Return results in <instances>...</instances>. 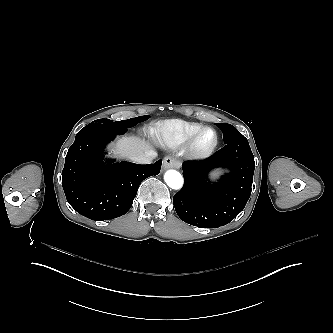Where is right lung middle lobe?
I'll use <instances>...</instances> for the list:
<instances>
[{"label": "right lung middle lobe", "mask_w": 333, "mask_h": 333, "mask_svg": "<svg viewBox=\"0 0 333 333\" xmlns=\"http://www.w3.org/2000/svg\"><path fill=\"white\" fill-rule=\"evenodd\" d=\"M148 118H149V116L145 115V116H140V117H136V118H131L128 120L116 121V122H113L108 119H98L93 122L103 123V124H107V125H111L114 127H118V128L127 130L128 128L135 126L137 123L147 120Z\"/></svg>", "instance_id": "obj_1"}]
</instances>
